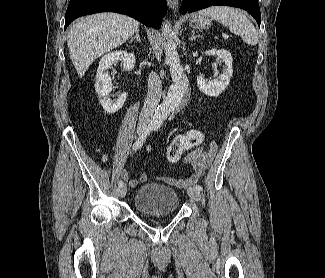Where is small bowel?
<instances>
[{"instance_id": "obj_1", "label": "small bowel", "mask_w": 325, "mask_h": 278, "mask_svg": "<svg viewBox=\"0 0 325 278\" xmlns=\"http://www.w3.org/2000/svg\"><path fill=\"white\" fill-rule=\"evenodd\" d=\"M190 132L187 131L184 134H188ZM190 152H188L184 156V162L189 164L192 167L193 173L189 175L186 179H176L167 177L165 178L166 182L176 186H187L194 184L198 181L199 177L208 169V167L213 162L216 153L218 151L217 144L213 141L204 142L202 141L199 145L192 148ZM145 150L147 152L151 151V146H146ZM103 160H106V156L103 157ZM121 177L128 182L129 186L135 187L139 182H146L148 179L147 174L143 173L140 175L139 180L129 178L128 171L126 169H122L120 171Z\"/></svg>"}]
</instances>
